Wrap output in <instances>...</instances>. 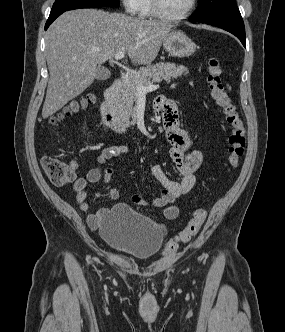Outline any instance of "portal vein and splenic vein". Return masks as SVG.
<instances>
[{
    "label": "portal vein and splenic vein",
    "mask_w": 285,
    "mask_h": 332,
    "mask_svg": "<svg viewBox=\"0 0 285 332\" xmlns=\"http://www.w3.org/2000/svg\"><path fill=\"white\" fill-rule=\"evenodd\" d=\"M125 56L124 51H119L115 54L114 58L116 61L121 60ZM137 92L139 95H145L148 92L154 91L159 88L158 85H148V86H143L141 84L137 85Z\"/></svg>",
    "instance_id": "18ae733b"
}]
</instances>
